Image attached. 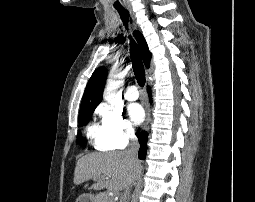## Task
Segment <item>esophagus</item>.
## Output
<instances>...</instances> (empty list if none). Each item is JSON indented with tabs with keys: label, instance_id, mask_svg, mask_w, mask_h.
<instances>
[{
	"label": "esophagus",
	"instance_id": "esophagus-1",
	"mask_svg": "<svg viewBox=\"0 0 255 202\" xmlns=\"http://www.w3.org/2000/svg\"><path fill=\"white\" fill-rule=\"evenodd\" d=\"M150 120H151V110H150V107L148 106L147 111H146V119H145V122L142 126L143 130L148 128Z\"/></svg>",
	"mask_w": 255,
	"mask_h": 202
}]
</instances>
